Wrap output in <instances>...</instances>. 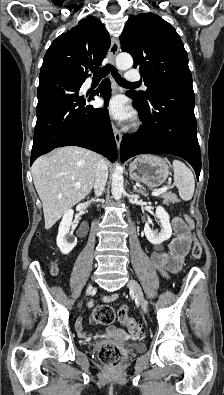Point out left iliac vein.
<instances>
[{"instance_id": "obj_1", "label": "left iliac vein", "mask_w": 224, "mask_h": 395, "mask_svg": "<svg viewBox=\"0 0 224 395\" xmlns=\"http://www.w3.org/2000/svg\"><path fill=\"white\" fill-rule=\"evenodd\" d=\"M128 287L130 290H132L135 293L142 310L144 312H147V309H148L147 303L144 298V294H143V291H142L140 285L135 280L130 279L128 282Z\"/></svg>"}]
</instances>
